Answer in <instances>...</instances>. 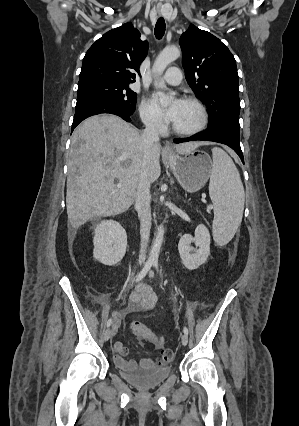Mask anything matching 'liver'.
I'll return each instance as SVG.
<instances>
[{
	"mask_svg": "<svg viewBox=\"0 0 299 426\" xmlns=\"http://www.w3.org/2000/svg\"><path fill=\"white\" fill-rule=\"evenodd\" d=\"M207 142L176 145L187 154ZM147 153L142 134L115 115H96L83 121L71 137L66 207L68 222L78 228L93 217L125 212L133 204ZM161 146L150 151L149 180L161 173ZM118 179L121 188H117Z\"/></svg>",
	"mask_w": 299,
	"mask_h": 426,
	"instance_id": "obj_1",
	"label": "liver"
}]
</instances>
